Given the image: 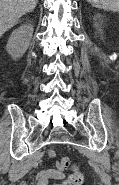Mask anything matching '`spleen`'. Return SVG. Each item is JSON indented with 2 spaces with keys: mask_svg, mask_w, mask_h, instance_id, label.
<instances>
[{
  "mask_svg": "<svg viewBox=\"0 0 119 185\" xmlns=\"http://www.w3.org/2000/svg\"><path fill=\"white\" fill-rule=\"evenodd\" d=\"M87 2L99 9L119 12V0H87Z\"/></svg>",
  "mask_w": 119,
  "mask_h": 185,
  "instance_id": "obj_1",
  "label": "spleen"
}]
</instances>
